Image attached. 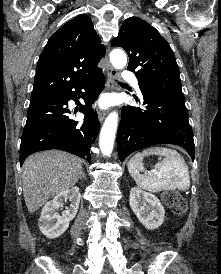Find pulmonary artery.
<instances>
[{
  "instance_id": "e3ab8cb5",
  "label": "pulmonary artery",
  "mask_w": 221,
  "mask_h": 274,
  "mask_svg": "<svg viewBox=\"0 0 221 274\" xmlns=\"http://www.w3.org/2000/svg\"><path fill=\"white\" fill-rule=\"evenodd\" d=\"M122 77L124 80L132 82L138 88V81L133 72L125 70L122 73Z\"/></svg>"
}]
</instances>
